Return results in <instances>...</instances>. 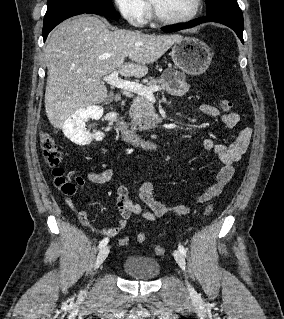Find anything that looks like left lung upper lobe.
Instances as JSON below:
<instances>
[{"label":"left lung upper lobe","instance_id":"left-lung-upper-lobe-1","mask_svg":"<svg viewBox=\"0 0 284 319\" xmlns=\"http://www.w3.org/2000/svg\"><path fill=\"white\" fill-rule=\"evenodd\" d=\"M207 15L235 14L242 15L237 0H206Z\"/></svg>","mask_w":284,"mask_h":319}]
</instances>
